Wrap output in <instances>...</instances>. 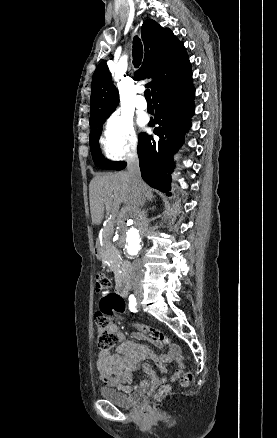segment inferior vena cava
<instances>
[{
	"label": "inferior vena cava",
	"instance_id": "obj_1",
	"mask_svg": "<svg viewBox=\"0 0 277 438\" xmlns=\"http://www.w3.org/2000/svg\"><path fill=\"white\" fill-rule=\"evenodd\" d=\"M127 174L129 184L132 190H140V186H142V178L141 172L139 168V158L137 152H134L132 156H128L127 160ZM142 262L140 260H134L133 262V272L131 276V286H133V290H139L140 280L142 276Z\"/></svg>",
	"mask_w": 277,
	"mask_h": 438
}]
</instances>
